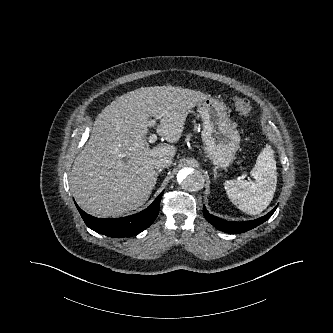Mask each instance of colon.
Listing matches in <instances>:
<instances>
[{
	"label": "colon",
	"instance_id": "1",
	"mask_svg": "<svg viewBox=\"0 0 333 333\" xmlns=\"http://www.w3.org/2000/svg\"><path fill=\"white\" fill-rule=\"evenodd\" d=\"M233 101L237 111L243 116H249L252 112V107L247 99L233 97Z\"/></svg>",
	"mask_w": 333,
	"mask_h": 333
}]
</instances>
